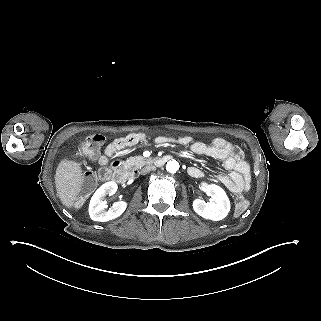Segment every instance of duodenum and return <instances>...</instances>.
I'll return each mask as SVG.
<instances>
[{
    "label": "duodenum",
    "mask_w": 321,
    "mask_h": 321,
    "mask_svg": "<svg viewBox=\"0 0 321 321\" xmlns=\"http://www.w3.org/2000/svg\"><path fill=\"white\" fill-rule=\"evenodd\" d=\"M171 159L170 156H162L155 160V165L160 167ZM111 177L117 183H125L129 178L128 170L119 162H114L110 168Z\"/></svg>",
    "instance_id": "obj_1"
}]
</instances>
